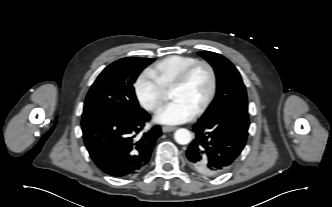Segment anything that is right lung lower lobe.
Segmentation results:
<instances>
[{
    "label": "right lung lower lobe",
    "mask_w": 332,
    "mask_h": 207,
    "mask_svg": "<svg viewBox=\"0 0 332 207\" xmlns=\"http://www.w3.org/2000/svg\"><path fill=\"white\" fill-rule=\"evenodd\" d=\"M150 120L142 110L124 116L99 114L82 119L83 139L90 157L106 174L125 178L139 173L149 162L160 126L136 136Z\"/></svg>",
    "instance_id": "98d812e1"
}]
</instances>
